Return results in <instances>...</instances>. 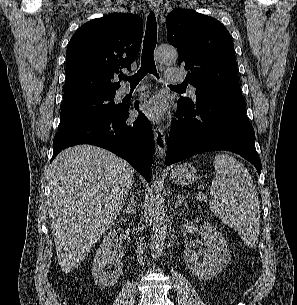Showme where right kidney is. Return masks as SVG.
I'll return each instance as SVG.
<instances>
[{
	"label": "right kidney",
	"instance_id": "1",
	"mask_svg": "<svg viewBox=\"0 0 297 305\" xmlns=\"http://www.w3.org/2000/svg\"><path fill=\"white\" fill-rule=\"evenodd\" d=\"M118 241V235L115 230H110L107 236H105L102 244L96 251L92 275L95 280V283L101 287H111L116 284L118 281L123 268V263L120 259L112 255V248ZM113 263V271H107V264Z\"/></svg>",
	"mask_w": 297,
	"mask_h": 305
}]
</instances>
